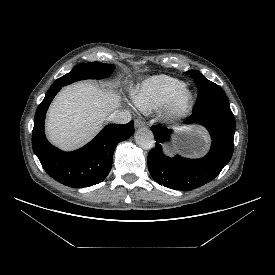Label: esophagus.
<instances>
[{"instance_id": "1", "label": "esophagus", "mask_w": 275, "mask_h": 275, "mask_svg": "<svg viewBox=\"0 0 275 275\" xmlns=\"http://www.w3.org/2000/svg\"><path fill=\"white\" fill-rule=\"evenodd\" d=\"M145 126V123L142 119H136L135 120V128H140V127H144Z\"/></svg>"}]
</instances>
